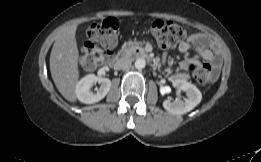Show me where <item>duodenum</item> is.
<instances>
[{"label":"duodenum","instance_id":"410a0bca","mask_svg":"<svg viewBox=\"0 0 261 162\" xmlns=\"http://www.w3.org/2000/svg\"><path fill=\"white\" fill-rule=\"evenodd\" d=\"M131 52L135 56H139V57H142L146 60H149V53L143 48L135 47V48L132 49ZM121 60L122 59L119 58L114 52H107L106 58L104 60V64L107 67L113 68V67L118 66L121 63Z\"/></svg>","mask_w":261,"mask_h":162}]
</instances>
